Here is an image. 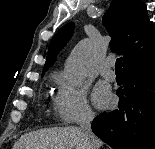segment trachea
I'll return each instance as SVG.
<instances>
[{
	"label": "trachea",
	"mask_w": 155,
	"mask_h": 149,
	"mask_svg": "<svg viewBox=\"0 0 155 149\" xmlns=\"http://www.w3.org/2000/svg\"><path fill=\"white\" fill-rule=\"evenodd\" d=\"M115 69L122 71V58H118L115 63Z\"/></svg>",
	"instance_id": "3493384b"
}]
</instances>
